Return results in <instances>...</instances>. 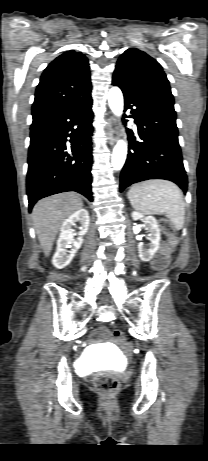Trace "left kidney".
<instances>
[{
  "mask_svg": "<svg viewBox=\"0 0 208 461\" xmlns=\"http://www.w3.org/2000/svg\"><path fill=\"white\" fill-rule=\"evenodd\" d=\"M131 217L134 221L143 219L146 230H148V232L150 233V244L148 249H145L142 243L138 244L140 259L144 262H148L153 258L154 254L157 252L160 245V229L158 227L157 220L154 216H144L143 214L135 211L131 213Z\"/></svg>",
  "mask_w": 208,
  "mask_h": 461,
  "instance_id": "5707ae66",
  "label": "left kidney"
}]
</instances>
